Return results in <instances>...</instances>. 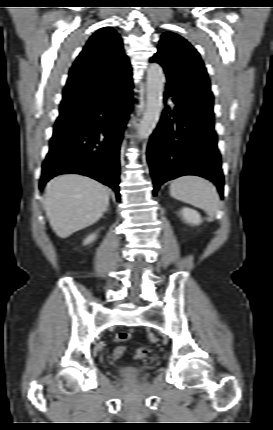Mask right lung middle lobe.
<instances>
[{
    "mask_svg": "<svg viewBox=\"0 0 273 430\" xmlns=\"http://www.w3.org/2000/svg\"><path fill=\"white\" fill-rule=\"evenodd\" d=\"M81 116L80 111L61 110L60 115L55 123L54 129L62 128L73 124Z\"/></svg>",
    "mask_w": 273,
    "mask_h": 430,
    "instance_id": "1",
    "label": "right lung middle lobe"
}]
</instances>
